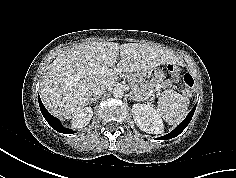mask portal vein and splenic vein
<instances>
[{"label": "portal vein and splenic vein", "mask_w": 236, "mask_h": 178, "mask_svg": "<svg viewBox=\"0 0 236 178\" xmlns=\"http://www.w3.org/2000/svg\"><path fill=\"white\" fill-rule=\"evenodd\" d=\"M99 72L102 73V74H107V75H113V74H114L113 70H112V69H109V68L106 67V66H103V67L99 70ZM136 96H137L139 99H141V100L144 99L142 96H140V95L137 94V93H136Z\"/></svg>", "instance_id": "1"}]
</instances>
